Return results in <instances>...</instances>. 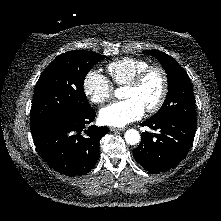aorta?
Instances as JSON below:
<instances>
[{"mask_svg": "<svg viewBox=\"0 0 221 221\" xmlns=\"http://www.w3.org/2000/svg\"><path fill=\"white\" fill-rule=\"evenodd\" d=\"M115 96L118 99H122L123 97V92L122 89L118 88L115 90ZM125 141L130 144V145H136L140 142V134L137 130L135 129H129L125 132L124 135Z\"/></svg>", "mask_w": 221, "mask_h": 221, "instance_id": "aorta-1", "label": "aorta"}]
</instances>
